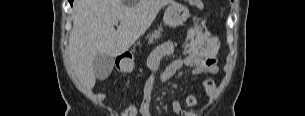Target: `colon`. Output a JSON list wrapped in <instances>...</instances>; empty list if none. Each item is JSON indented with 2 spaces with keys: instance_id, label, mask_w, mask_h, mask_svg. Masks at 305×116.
<instances>
[{
  "instance_id": "obj_1",
  "label": "colon",
  "mask_w": 305,
  "mask_h": 116,
  "mask_svg": "<svg viewBox=\"0 0 305 116\" xmlns=\"http://www.w3.org/2000/svg\"><path fill=\"white\" fill-rule=\"evenodd\" d=\"M139 106L140 102H131L119 112L118 116H138L140 115Z\"/></svg>"
}]
</instances>
